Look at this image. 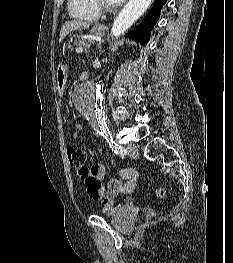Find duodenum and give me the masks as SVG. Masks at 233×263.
Here are the masks:
<instances>
[{
    "label": "duodenum",
    "mask_w": 233,
    "mask_h": 263,
    "mask_svg": "<svg viewBox=\"0 0 233 263\" xmlns=\"http://www.w3.org/2000/svg\"><path fill=\"white\" fill-rule=\"evenodd\" d=\"M80 78L82 81H86L89 78L88 72L86 71L82 72Z\"/></svg>",
    "instance_id": "obj_1"
}]
</instances>
